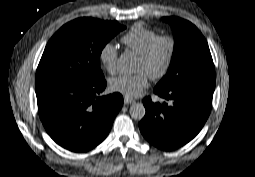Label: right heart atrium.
I'll return each mask as SVG.
<instances>
[{"instance_id": "d8ad5b80", "label": "right heart atrium", "mask_w": 255, "mask_h": 177, "mask_svg": "<svg viewBox=\"0 0 255 177\" xmlns=\"http://www.w3.org/2000/svg\"><path fill=\"white\" fill-rule=\"evenodd\" d=\"M118 50L111 43H105L99 50V60L109 74H114L117 66Z\"/></svg>"}]
</instances>
